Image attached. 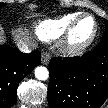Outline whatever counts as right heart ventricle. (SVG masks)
Returning <instances> with one entry per match:
<instances>
[{
  "label": "right heart ventricle",
  "mask_w": 108,
  "mask_h": 108,
  "mask_svg": "<svg viewBox=\"0 0 108 108\" xmlns=\"http://www.w3.org/2000/svg\"><path fill=\"white\" fill-rule=\"evenodd\" d=\"M77 17L76 14H71L41 20L35 26V33L41 40H53L59 37Z\"/></svg>",
  "instance_id": "obj_1"
}]
</instances>
